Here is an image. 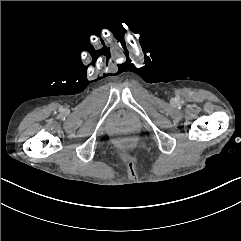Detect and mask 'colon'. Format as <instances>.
<instances>
[{
	"label": "colon",
	"instance_id": "colon-1",
	"mask_svg": "<svg viewBox=\"0 0 241 241\" xmlns=\"http://www.w3.org/2000/svg\"><path fill=\"white\" fill-rule=\"evenodd\" d=\"M128 144H129L130 146L138 147V148H140V149L145 148V143H144V141H143V140H138V139H136V138H134V137H132V138H130V139L128 140Z\"/></svg>",
	"mask_w": 241,
	"mask_h": 241
}]
</instances>
